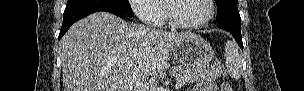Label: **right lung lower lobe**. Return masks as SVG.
<instances>
[{"label": "right lung lower lobe", "mask_w": 304, "mask_h": 91, "mask_svg": "<svg viewBox=\"0 0 304 91\" xmlns=\"http://www.w3.org/2000/svg\"><path fill=\"white\" fill-rule=\"evenodd\" d=\"M98 11L110 12L122 18L129 17L114 5L113 0H68L58 40L73 23Z\"/></svg>", "instance_id": "98d812e1"}]
</instances>
